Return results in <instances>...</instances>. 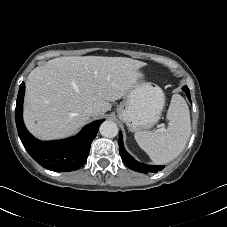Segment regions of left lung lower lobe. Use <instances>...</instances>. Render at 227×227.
<instances>
[{
  "label": "left lung lower lobe",
  "mask_w": 227,
  "mask_h": 227,
  "mask_svg": "<svg viewBox=\"0 0 227 227\" xmlns=\"http://www.w3.org/2000/svg\"><path fill=\"white\" fill-rule=\"evenodd\" d=\"M182 90L186 93L188 100L191 101L190 90L188 89V87L184 86L182 88ZM119 152H120V156H121L124 164L134 171L141 172V173H147V172H157L164 168L163 166L143 165V164L137 162L132 156H130L126 152V150L123 146V139H122L121 133L119 134Z\"/></svg>",
  "instance_id": "0a47b994"
}]
</instances>
